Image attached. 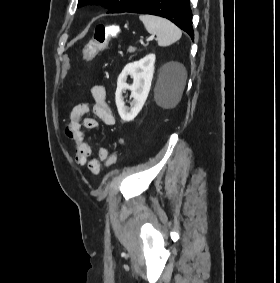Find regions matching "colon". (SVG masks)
Segmentation results:
<instances>
[{
  "mask_svg": "<svg viewBox=\"0 0 280 283\" xmlns=\"http://www.w3.org/2000/svg\"><path fill=\"white\" fill-rule=\"evenodd\" d=\"M120 27L118 25H104L99 24L96 26L93 37L87 42L83 50V59L88 62L94 58V56L101 50L105 49L109 40L118 35ZM84 75L88 74L87 70L83 71ZM117 156L112 154L107 165L109 167L116 163Z\"/></svg>",
  "mask_w": 280,
  "mask_h": 283,
  "instance_id": "obj_1",
  "label": "colon"
}]
</instances>
